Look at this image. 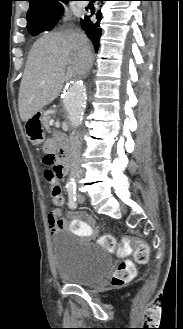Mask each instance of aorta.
<instances>
[{
    "mask_svg": "<svg viewBox=\"0 0 183 329\" xmlns=\"http://www.w3.org/2000/svg\"><path fill=\"white\" fill-rule=\"evenodd\" d=\"M86 99L87 91L83 81L76 80L68 85L64 94L63 105L72 127H78L82 123ZM73 185V179L67 181L68 187H72Z\"/></svg>",
    "mask_w": 183,
    "mask_h": 329,
    "instance_id": "obj_1",
    "label": "aorta"
}]
</instances>
